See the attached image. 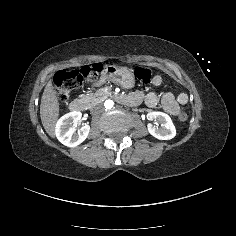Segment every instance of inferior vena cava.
I'll return each mask as SVG.
<instances>
[{
  "mask_svg": "<svg viewBox=\"0 0 236 236\" xmlns=\"http://www.w3.org/2000/svg\"><path fill=\"white\" fill-rule=\"evenodd\" d=\"M93 113H102L104 111V107L102 104L95 105L92 110Z\"/></svg>",
  "mask_w": 236,
  "mask_h": 236,
  "instance_id": "inferior-vena-cava-1",
  "label": "inferior vena cava"
}]
</instances>
